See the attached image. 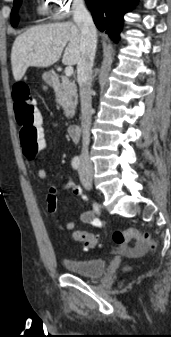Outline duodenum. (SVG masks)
I'll return each instance as SVG.
<instances>
[{"mask_svg":"<svg viewBox=\"0 0 171 337\" xmlns=\"http://www.w3.org/2000/svg\"><path fill=\"white\" fill-rule=\"evenodd\" d=\"M49 76L51 78L52 83L57 86L59 84V80H58L57 76L55 75V73H50ZM67 131H68L69 136L73 140H79L80 139V135H81L80 125L70 124L68 126Z\"/></svg>","mask_w":171,"mask_h":337,"instance_id":"obj_1","label":"duodenum"}]
</instances>
